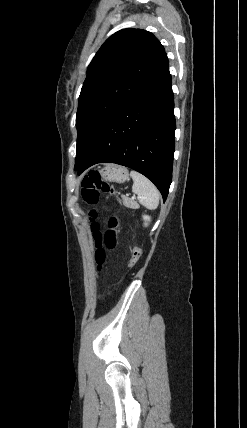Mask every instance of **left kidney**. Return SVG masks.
<instances>
[{
    "mask_svg": "<svg viewBox=\"0 0 247 428\" xmlns=\"http://www.w3.org/2000/svg\"><path fill=\"white\" fill-rule=\"evenodd\" d=\"M143 220L145 221V226H147L148 222H150V217L148 215H144Z\"/></svg>",
    "mask_w": 247,
    "mask_h": 428,
    "instance_id": "left-kidney-1",
    "label": "left kidney"
}]
</instances>
